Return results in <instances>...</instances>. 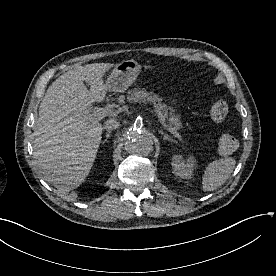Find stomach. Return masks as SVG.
Here are the masks:
<instances>
[{
    "instance_id": "obj_1",
    "label": "stomach",
    "mask_w": 276,
    "mask_h": 276,
    "mask_svg": "<svg viewBox=\"0 0 276 276\" xmlns=\"http://www.w3.org/2000/svg\"><path fill=\"white\" fill-rule=\"evenodd\" d=\"M141 72V65L131 59L122 61L113 69L107 80V88L113 92H125L137 79Z\"/></svg>"
}]
</instances>
